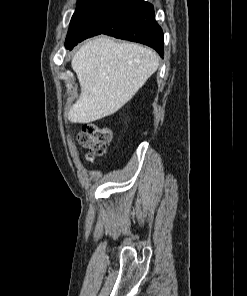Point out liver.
<instances>
[{
    "label": "liver",
    "instance_id": "obj_1",
    "mask_svg": "<svg viewBox=\"0 0 247 296\" xmlns=\"http://www.w3.org/2000/svg\"><path fill=\"white\" fill-rule=\"evenodd\" d=\"M81 94L67 113L73 123H91L112 115L126 104L155 73V51L107 37L86 42L71 61Z\"/></svg>",
    "mask_w": 247,
    "mask_h": 296
}]
</instances>
